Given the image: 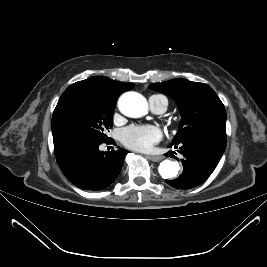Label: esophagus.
<instances>
[{"instance_id":"obj_1","label":"esophagus","mask_w":267,"mask_h":267,"mask_svg":"<svg viewBox=\"0 0 267 267\" xmlns=\"http://www.w3.org/2000/svg\"><path fill=\"white\" fill-rule=\"evenodd\" d=\"M148 157L153 162H159V161H161L163 159L162 156H155V155H149Z\"/></svg>"}]
</instances>
